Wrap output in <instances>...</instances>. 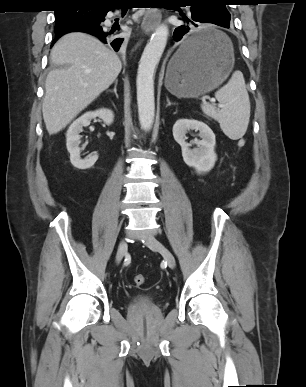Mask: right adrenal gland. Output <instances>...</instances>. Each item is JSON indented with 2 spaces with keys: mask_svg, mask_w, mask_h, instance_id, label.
Here are the masks:
<instances>
[{
  "mask_svg": "<svg viewBox=\"0 0 306 387\" xmlns=\"http://www.w3.org/2000/svg\"><path fill=\"white\" fill-rule=\"evenodd\" d=\"M117 84H118V80H115V83H114V89H113V90H108V92L114 93V94L116 95V98H118V94H117Z\"/></svg>",
  "mask_w": 306,
  "mask_h": 387,
  "instance_id": "right-adrenal-gland-1",
  "label": "right adrenal gland"
}]
</instances>
